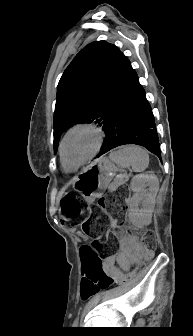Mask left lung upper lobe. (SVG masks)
<instances>
[{"label":"left lung upper lobe","mask_w":193,"mask_h":336,"mask_svg":"<svg viewBox=\"0 0 193 336\" xmlns=\"http://www.w3.org/2000/svg\"><path fill=\"white\" fill-rule=\"evenodd\" d=\"M128 59L105 41L88 44L72 60L58 87L54 151L64 130L77 123L103 126L120 88Z\"/></svg>","instance_id":"5c2ea615"}]
</instances>
